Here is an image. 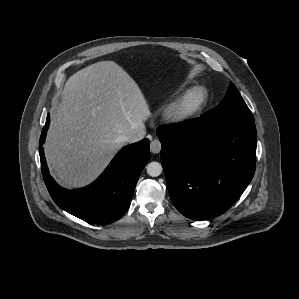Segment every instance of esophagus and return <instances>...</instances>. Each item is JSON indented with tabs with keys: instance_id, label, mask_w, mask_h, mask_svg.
Wrapping results in <instances>:
<instances>
[{
	"instance_id": "obj_1",
	"label": "esophagus",
	"mask_w": 299,
	"mask_h": 299,
	"mask_svg": "<svg viewBox=\"0 0 299 299\" xmlns=\"http://www.w3.org/2000/svg\"><path fill=\"white\" fill-rule=\"evenodd\" d=\"M161 142L157 139H154L150 144V150L152 153L157 154L161 150Z\"/></svg>"
}]
</instances>
